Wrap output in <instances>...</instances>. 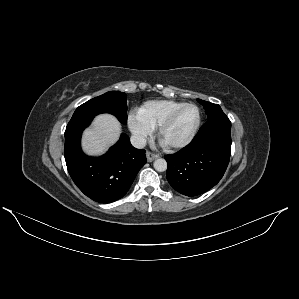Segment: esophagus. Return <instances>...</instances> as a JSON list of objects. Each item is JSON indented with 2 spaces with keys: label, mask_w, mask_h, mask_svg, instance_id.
Listing matches in <instances>:
<instances>
[{
  "label": "esophagus",
  "mask_w": 299,
  "mask_h": 299,
  "mask_svg": "<svg viewBox=\"0 0 299 299\" xmlns=\"http://www.w3.org/2000/svg\"><path fill=\"white\" fill-rule=\"evenodd\" d=\"M146 157H147V161L148 162H152L154 159L158 158L159 155L155 154V153H152V152H147L146 153Z\"/></svg>",
  "instance_id": "obj_1"
}]
</instances>
